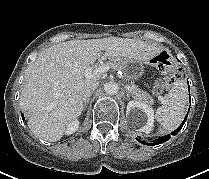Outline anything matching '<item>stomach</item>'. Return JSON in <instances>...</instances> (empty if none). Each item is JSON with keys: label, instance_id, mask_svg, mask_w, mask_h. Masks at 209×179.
Segmentation results:
<instances>
[{"label": "stomach", "instance_id": "obj_1", "mask_svg": "<svg viewBox=\"0 0 209 179\" xmlns=\"http://www.w3.org/2000/svg\"><path fill=\"white\" fill-rule=\"evenodd\" d=\"M123 79L126 82L138 80L144 72L143 62L136 59H125L120 62Z\"/></svg>", "mask_w": 209, "mask_h": 179}]
</instances>
